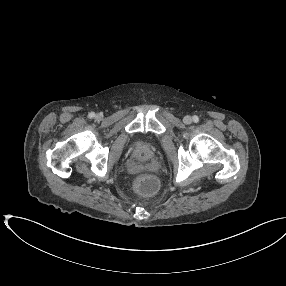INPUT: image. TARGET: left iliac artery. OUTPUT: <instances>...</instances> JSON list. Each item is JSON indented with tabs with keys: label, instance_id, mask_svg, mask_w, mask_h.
I'll list each match as a JSON object with an SVG mask.
<instances>
[{
	"label": "left iliac artery",
	"instance_id": "1",
	"mask_svg": "<svg viewBox=\"0 0 286 286\" xmlns=\"http://www.w3.org/2000/svg\"><path fill=\"white\" fill-rule=\"evenodd\" d=\"M193 121L197 123V122L199 121L198 116H196V115H195V116H193Z\"/></svg>",
	"mask_w": 286,
	"mask_h": 286
}]
</instances>
